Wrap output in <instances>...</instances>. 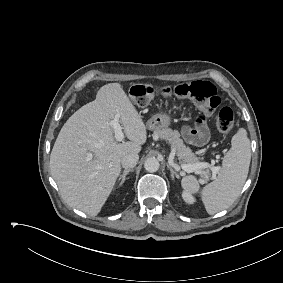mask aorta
Listing matches in <instances>:
<instances>
[{
  "instance_id": "762f6f07",
  "label": "aorta",
  "mask_w": 283,
  "mask_h": 283,
  "mask_svg": "<svg viewBox=\"0 0 283 283\" xmlns=\"http://www.w3.org/2000/svg\"><path fill=\"white\" fill-rule=\"evenodd\" d=\"M144 168L148 172H156L159 169V161L154 157L147 158L144 163Z\"/></svg>"
}]
</instances>
